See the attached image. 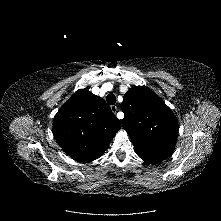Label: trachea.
<instances>
[{"label":"trachea","mask_w":221,"mask_h":221,"mask_svg":"<svg viewBox=\"0 0 221 221\" xmlns=\"http://www.w3.org/2000/svg\"><path fill=\"white\" fill-rule=\"evenodd\" d=\"M106 101L110 105H114L116 103V96L114 94H108L106 96Z\"/></svg>","instance_id":"trachea-1"}]
</instances>
